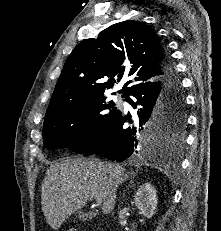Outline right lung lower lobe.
I'll use <instances>...</instances> for the list:
<instances>
[{
  "mask_svg": "<svg viewBox=\"0 0 221 231\" xmlns=\"http://www.w3.org/2000/svg\"><path fill=\"white\" fill-rule=\"evenodd\" d=\"M164 51L161 79L129 94L134 100L126 98L134 109L138 108L136 127L127 125L132 124L130 113L124 116L119 111L101 132L71 149L72 151L81 154H100L119 162L131 155L146 157L162 152L165 142L149 129L156 107L163 97L185 104L175 65L168 51L166 49Z\"/></svg>",
  "mask_w": 221,
  "mask_h": 231,
  "instance_id": "right-lung-lower-lobe-1",
  "label": "right lung lower lobe"
}]
</instances>
